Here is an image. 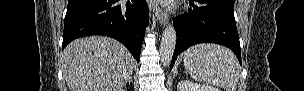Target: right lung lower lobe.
<instances>
[{"label":"right lung lower lobe","mask_w":304,"mask_h":91,"mask_svg":"<svg viewBox=\"0 0 304 91\" xmlns=\"http://www.w3.org/2000/svg\"><path fill=\"white\" fill-rule=\"evenodd\" d=\"M148 21L146 0H69L62 50L79 37L105 35L120 41L139 62Z\"/></svg>","instance_id":"right-lung-lower-lobe-1"}]
</instances>
